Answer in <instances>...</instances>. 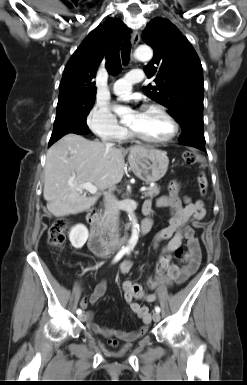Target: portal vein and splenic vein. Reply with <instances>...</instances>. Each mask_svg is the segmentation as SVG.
Listing matches in <instances>:
<instances>
[{
    "mask_svg": "<svg viewBox=\"0 0 247 385\" xmlns=\"http://www.w3.org/2000/svg\"><path fill=\"white\" fill-rule=\"evenodd\" d=\"M73 187H76L78 189H85L87 191H89L90 193L92 194H95L97 193V187L94 186L91 182H85L83 184H80V185H72ZM146 191V187H142L140 189V192H145Z\"/></svg>",
    "mask_w": 247,
    "mask_h": 385,
    "instance_id": "1",
    "label": "portal vein and splenic vein"
}]
</instances>
